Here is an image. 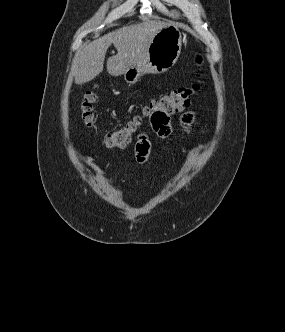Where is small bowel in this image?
I'll return each mask as SVG.
<instances>
[{
  "instance_id": "small-bowel-1",
  "label": "small bowel",
  "mask_w": 285,
  "mask_h": 332,
  "mask_svg": "<svg viewBox=\"0 0 285 332\" xmlns=\"http://www.w3.org/2000/svg\"><path fill=\"white\" fill-rule=\"evenodd\" d=\"M173 111H149L148 126H152V132L158 133L161 137H168L171 132V122H173ZM193 115L187 113L183 117L186 126L191 124ZM150 154V141L146 134L140 135L135 144V155L139 163L147 160Z\"/></svg>"
}]
</instances>
